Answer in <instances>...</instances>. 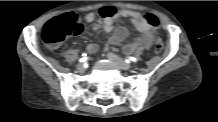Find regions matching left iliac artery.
I'll return each mask as SVG.
<instances>
[{
  "instance_id": "44dca946",
  "label": "left iliac artery",
  "mask_w": 218,
  "mask_h": 122,
  "mask_svg": "<svg viewBox=\"0 0 218 122\" xmlns=\"http://www.w3.org/2000/svg\"><path fill=\"white\" fill-rule=\"evenodd\" d=\"M128 61L137 62V58H135V57H129L128 60H127V62H128Z\"/></svg>"
}]
</instances>
